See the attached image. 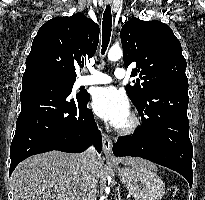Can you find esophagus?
<instances>
[{"mask_svg":"<svg viewBox=\"0 0 205 200\" xmlns=\"http://www.w3.org/2000/svg\"><path fill=\"white\" fill-rule=\"evenodd\" d=\"M102 142H103V152L105 154V157L108 160H111V161L114 160L113 155H112V140L110 136L104 133L102 137Z\"/></svg>","mask_w":205,"mask_h":200,"instance_id":"esophagus-1","label":"esophagus"}]
</instances>
